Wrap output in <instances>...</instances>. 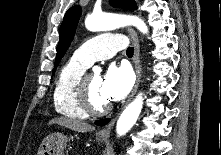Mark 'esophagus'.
Segmentation results:
<instances>
[{
    "label": "esophagus",
    "instance_id": "1",
    "mask_svg": "<svg viewBox=\"0 0 221 155\" xmlns=\"http://www.w3.org/2000/svg\"><path fill=\"white\" fill-rule=\"evenodd\" d=\"M127 31L129 33V36L131 38V41L134 46V56H133V62H134V67H135V72H136V82L134 85V88L129 96V99L127 100V103L131 101V99L134 97L139 83H140V78H141V67H140V45H139V40L138 36L135 32L134 29L132 28H127ZM115 123V118L112 119L105 127H103L101 130L98 131L97 135L102 138H107L110 135L111 129Z\"/></svg>",
    "mask_w": 221,
    "mask_h": 155
}]
</instances>
